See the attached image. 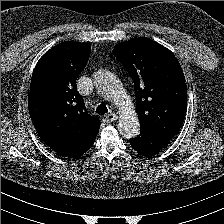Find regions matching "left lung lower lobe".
<instances>
[{
	"label": "left lung lower lobe",
	"mask_w": 224,
	"mask_h": 224,
	"mask_svg": "<svg viewBox=\"0 0 224 224\" xmlns=\"http://www.w3.org/2000/svg\"><path fill=\"white\" fill-rule=\"evenodd\" d=\"M169 142L145 130H140L137 137L130 139V145L145 157L158 154Z\"/></svg>",
	"instance_id": "1"
}]
</instances>
